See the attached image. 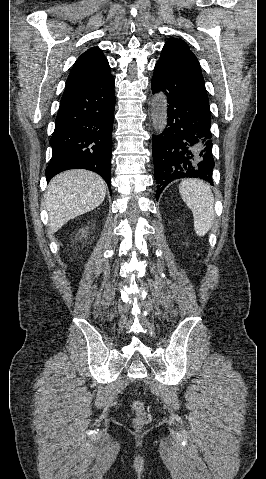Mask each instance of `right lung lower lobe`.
<instances>
[{
    "mask_svg": "<svg viewBox=\"0 0 266 479\" xmlns=\"http://www.w3.org/2000/svg\"><path fill=\"white\" fill-rule=\"evenodd\" d=\"M115 109L114 77L66 85L50 139L53 153L45 174L82 168L98 173L111 191L110 163Z\"/></svg>",
    "mask_w": 266,
    "mask_h": 479,
    "instance_id": "obj_1",
    "label": "right lung lower lobe"
}]
</instances>
